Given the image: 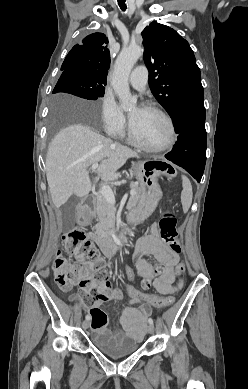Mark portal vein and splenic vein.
<instances>
[{
	"mask_svg": "<svg viewBox=\"0 0 248 389\" xmlns=\"http://www.w3.org/2000/svg\"><path fill=\"white\" fill-rule=\"evenodd\" d=\"M99 167L98 163L92 164L90 167V170L94 171ZM99 193L110 203V204H115V197L113 194L112 189L108 185H100L99 188ZM131 195L135 194V191L131 190L130 191Z\"/></svg>",
	"mask_w": 248,
	"mask_h": 389,
	"instance_id": "1",
	"label": "portal vein and splenic vein"
}]
</instances>
